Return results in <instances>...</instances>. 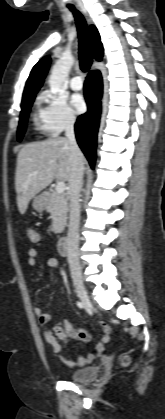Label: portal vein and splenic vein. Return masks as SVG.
I'll list each match as a JSON object with an SVG mask.
<instances>
[{
	"label": "portal vein and splenic vein",
	"instance_id": "18ae733b",
	"mask_svg": "<svg viewBox=\"0 0 165 419\" xmlns=\"http://www.w3.org/2000/svg\"><path fill=\"white\" fill-rule=\"evenodd\" d=\"M33 174H36V172H34ZM65 187V182L58 181L55 190L58 194H62L65 191Z\"/></svg>",
	"mask_w": 165,
	"mask_h": 419
}]
</instances>
